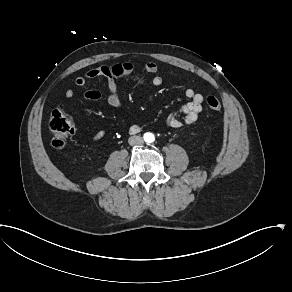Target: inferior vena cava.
Returning a JSON list of instances; mask_svg holds the SVG:
<instances>
[{
	"mask_svg": "<svg viewBox=\"0 0 292 292\" xmlns=\"http://www.w3.org/2000/svg\"><path fill=\"white\" fill-rule=\"evenodd\" d=\"M128 143L132 146H135V145H142L144 143V140L142 137L140 136H131L129 139H128Z\"/></svg>",
	"mask_w": 292,
	"mask_h": 292,
	"instance_id": "1",
	"label": "inferior vena cava"
}]
</instances>
